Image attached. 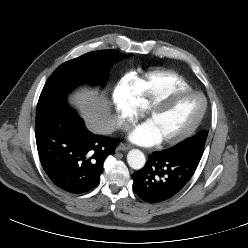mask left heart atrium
Here are the masks:
<instances>
[{
    "label": "left heart atrium",
    "mask_w": 248,
    "mask_h": 248,
    "mask_svg": "<svg viewBox=\"0 0 248 248\" xmlns=\"http://www.w3.org/2000/svg\"><path fill=\"white\" fill-rule=\"evenodd\" d=\"M129 139L142 146H153L161 142L160 137L148 121L134 128L129 133Z\"/></svg>",
    "instance_id": "1"
}]
</instances>
